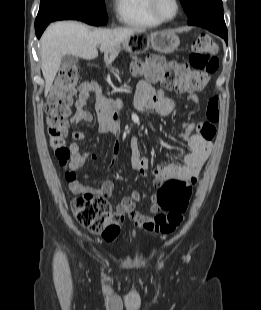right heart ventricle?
I'll list each match as a JSON object with an SVG mask.
<instances>
[{
	"label": "right heart ventricle",
	"instance_id": "right-heart-ventricle-1",
	"mask_svg": "<svg viewBox=\"0 0 261 310\" xmlns=\"http://www.w3.org/2000/svg\"><path fill=\"white\" fill-rule=\"evenodd\" d=\"M118 21L135 28H153L162 24L151 12L149 0H115Z\"/></svg>",
	"mask_w": 261,
	"mask_h": 310
}]
</instances>
